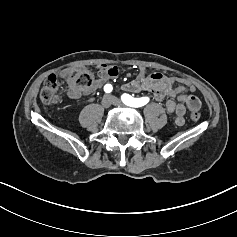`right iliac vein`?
<instances>
[{
	"mask_svg": "<svg viewBox=\"0 0 237 237\" xmlns=\"http://www.w3.org/2000/svg\"><path fill=\"white\" fill-rule=\"evenodd\" d=\"M101 103H102V106H103L104 108H109V107L111 106V104H112V100H111L110 95H105V96L102 98Z\"/></svg>",
	"mask_w": 237,
	"mask_h": 237,
	"instance_id": "63e3f726",
	"label": "right iliac vein"
}]
</instances>
